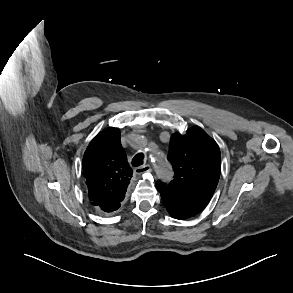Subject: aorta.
Returning <instances> with one entry per match:
<instances>
[{
  "instance_id": "aorta-1",
  "label": "aorta",
  "mask_w": 293,
  "mask_h": 293,
  "mask_svg": "<svg viewBox=\"0 0 293 293\" xmlns=\"http://www.w3.org/2000/svg\"><path fill=\"white\" fill-rule=\"evenodd\" d=\"M149 158L158 178L169 180L172 176V170L166 156L162 152L149 150Z\"/></svg>"
}]
</instances>
